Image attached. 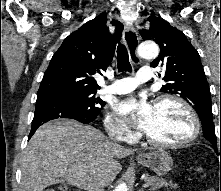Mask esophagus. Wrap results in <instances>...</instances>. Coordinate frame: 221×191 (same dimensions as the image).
Masks as SVG:
<instances>
[{"label": "esophagus", "instance_id": "34e87169", "mask_svg": "<svg viewBox=\"0 0 221 191\" xmlns=\"http://www.w3.org/2000/svg\"><path fill=\"white\" fill-rule=\"evenodd\" d=\"M123 39L127 48L129 49L132 60L138 61L135 53L139 43V39L135 28L131 24L125 26L123 31Z\"/></svg>", "mask_w": 221, "mask_h": 191}]
</instances>
